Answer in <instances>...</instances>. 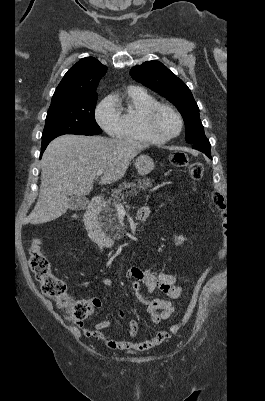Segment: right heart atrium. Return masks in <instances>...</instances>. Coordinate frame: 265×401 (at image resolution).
I'll use <instances>...</instances> for the list:
<instances>
[{
    "mask_svg": "<svg viewBox=\"0 0 265 401\" xmlns=\"http://www.w3.org/2000/svg\"><path fill=\"white\" fill-rule=\"evenodd\" d=\"M95 119L108 133L115 134L120 126V115L115 100L111 96L104 97L95 108Z\"/></svg>",
    "mask_w": 265,
    "mask_h": 401,
    "instance_id": "1",
    "label": "right heart atrium"
}]
</instances>
